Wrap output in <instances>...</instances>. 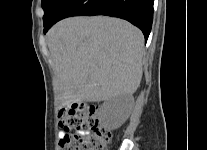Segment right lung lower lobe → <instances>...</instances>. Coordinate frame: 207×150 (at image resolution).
Returning <instances> with one entry per match:
<instances>
[{"label": "right lung lower lobe", "instance_id": "1", "mask_svg": "<svg viewBox=\"0 0 207 150\" xmlns=\"http://www.w3.org/2000/svg\"><path fill=\"white\" fill-rule=\"evenodd\" d=\"M153 3L154 0H64L52 19L44 23V33L66 17L106 15L125 19L140 28L146 42L152 27Z\"/></svg>", "mask_w": 207, "mask_h": 150}]
</instances>
